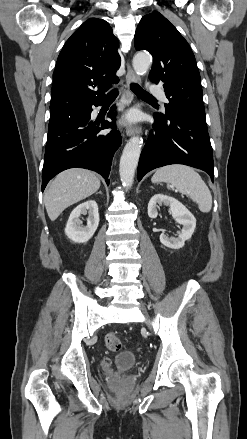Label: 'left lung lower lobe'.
Returning <instances> with one entry per match:
<instances>
[{"label": "left lung lower lobe", "instance_id": "left-lung-lower-lobe-1", "mask_svg": "<svg viewBox=\"0 0 247 439\" xmlns=\"http://www.w3.org/2000/svg\"><path fill=\"white\" fill-rule=\"evenodd\" d=\"M153 116V129L140 155L138 181L147 172L170 164L199 168L213 181V155L206 122L186 115Z\"/></svg>", "mask_w": 247, "mask_h": 439}]
</instances>
